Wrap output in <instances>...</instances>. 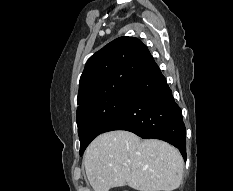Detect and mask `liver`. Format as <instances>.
I'll list each match as a JSON object with an SVG mask.
<instances>
[{
    "label": "liver",
    "mask_w": 233,
    "mask_h": 191,
    "mask_svg": "<svg viewBox=\"0 0 233 191\" xmlns=\"http://www.w3.org/2000/svg\"><path fill=\"white\" fill-rule=\"evenodd\" d=\"M94 191L128 185L138 191H173L180 186L184 162L180 152L157 140L115 130L100 134L84 155Z\"/></svg>",
    "instance_id": "liver-1"
}]
</instances>
